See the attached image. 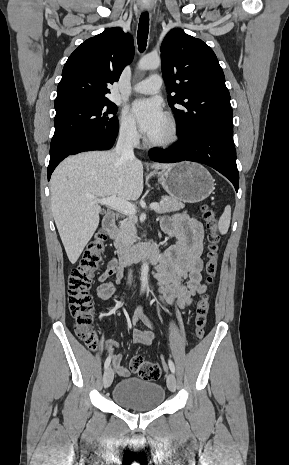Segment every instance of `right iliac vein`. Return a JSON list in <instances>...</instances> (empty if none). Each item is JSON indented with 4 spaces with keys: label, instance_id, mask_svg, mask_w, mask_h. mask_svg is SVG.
Masks as SVG:
<instances>
[{
    "label": "right iliac vein",
    "instance_id": "right-iliac-vein-1",
    "mask_svg": "<svg viewBox=\"0 0 289 465\" xmlns=\"http://www.w3.org/2000/svg\"><path fill=\"white\" fill-rule=\"evenodd\" d=\"M113 378H114V372L111 369V367H108L105 370L104 375H103V385L105 388H108L112 384Z\"/></svg>",
    "mask_w": 289,
    "mask_h": 465
}]
</instances>
